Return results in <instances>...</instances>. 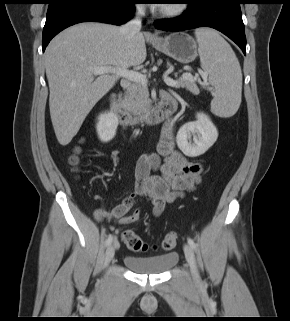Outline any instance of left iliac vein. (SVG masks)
I'll use <instances>...</instances> for the list:
<instances>
[{
	"mask_svg": "<svg viewBox=\"0 0 290 321\" xmlns=\"http://www.w3.org/2000/svg\"><path fill=\"white\" fill-rule=\"evenodd\" d=\"M184 253H185L186 260L190 266L191 274H192V277H193L195 283L198 285H201L202 280L200 278V275H199V272L197 269L195 255L192 250V247L188 244H185L184 245Z\"/></svg>",
	"mask_w": 290,
	"mask_h": 321,
	"instance_id": "left-iliac-vein-1",
	"label": "left iliac vein"
}]
</instances>
